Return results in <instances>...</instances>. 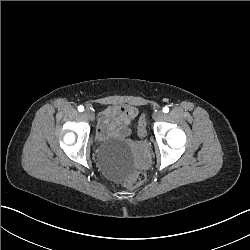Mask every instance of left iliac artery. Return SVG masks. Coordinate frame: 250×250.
<instances>
[{
	"mask_svg": "<svg viewBox=\"0 0 250 250\" xmlns=\"http://www.w3.org/2000/svg\"><path fill=\"white\" fill-rule=\"evenodd\" d=\"M163 112H164V113H168V112H169V108H168L167 106H165V107L163 108Z\"/></svg>",
	"mask_w": 250,
	"mask_h": 250,
	"instance_id": "44dca946",
	"label": "left iliac artery"
}]
</instances>
